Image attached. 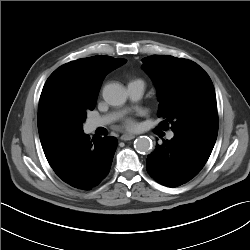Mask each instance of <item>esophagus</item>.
Here are the masks:
<instances>
[{"label": "esophagus", "mask_w": 250, "mask_h": 250, "mask_svg": "<svg viewBox=\"0 0 250 250\" xmlns=\"http://www.w3.org/2000/svg\"><path fill=\"white\" fill-rule=\"evenodd\" d=\"M134 138H135V136L131 135V134H123L121 136V140H123V141H129V140H132Z\"/></svg>", "instance_id": "1"}]
</instances>
